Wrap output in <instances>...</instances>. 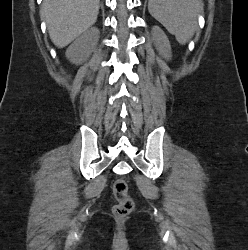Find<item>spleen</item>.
Wrapping results in <instances>:
<instances>
[{"mask_svg":"<svg viewBox=\"0 0 248 250\" xmlns=\"http://www.w3.org/2000/svg\"><path fill=\"white\" fill-rule=\"evenodd\" d=\"M149 13L176 40L185 45L194 35L200 13L199 0H149Z\"/></svg>","mask_w":248,"mask_h":250,"instance_id":"3e777b00","label":"spleen"}]
</instances>
